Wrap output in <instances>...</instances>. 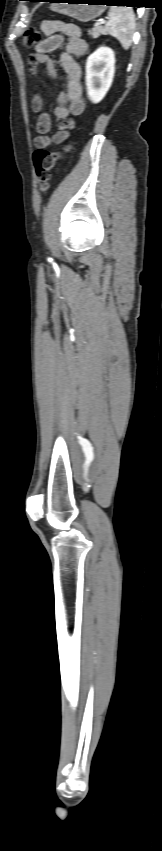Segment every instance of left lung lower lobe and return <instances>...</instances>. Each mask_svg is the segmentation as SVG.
<instances>
[{
  "label": "left lung lower lobe",
  "mask_w": 162,
  "mask_h": 851,
  "mask_svg": "<svg viewBox=\"0 0 162 851\" xmlns=\"http://www.w3.org/2000/svg\"><path fill=\"white\" fill-rule=\"evenodd\" d=\"M36 1H41V0H36ZM52 1L53 0H50V2H52ZM105 1H106L105 3H107L108 5H125V6H129V4H134V3L137 2L136 0H105Z\"/></svg>",
  "instance_id": "0a47b994"
}]
</instances>
